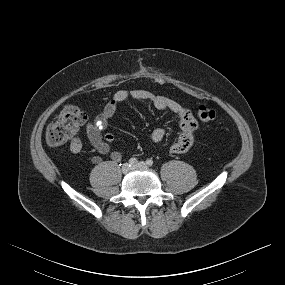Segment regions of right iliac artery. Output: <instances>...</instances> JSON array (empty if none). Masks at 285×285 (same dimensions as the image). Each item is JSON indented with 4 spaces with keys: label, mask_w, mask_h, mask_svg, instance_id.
Here are the masks:
<instances>
[{
    "label": "right iliac artery",
    "mask_w": 285,
    "mask_h": 285,
    "mask_svg": "<svg viewBox=\"0 0 285 285\" xmlns=\"http://www.w3.org/2000/svg\"><path fill=\"white\" fill-rule=\"evenodd\" d=\"M136 163H137V159L136 158L133 157V158L129 159V166L134 165Z\"/></svg>",
    "instance_id": "82829eb1"
}]
</instances>
